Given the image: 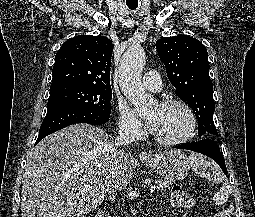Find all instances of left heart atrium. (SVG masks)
<instances>
[{
	"label": "left heart atrium",
	"mask_w": 255,
	"mask_h": 217,
	"mask_svg": "<svg viewBox=\"0 0 255 217\" xmlns=\"http://www.w3.org/2000/svg\"><path fill=\"white\" fill-rule=\"evenodd\" d=\"M148 127L149 129L153 132L154 129V121L153 120H148Z\"/></svg>",
	"instance_id": "1"
}]
</instances>
